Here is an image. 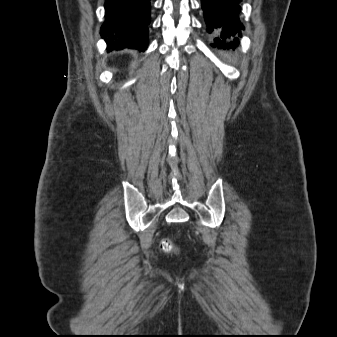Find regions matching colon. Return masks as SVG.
<instances>
[{"mask_svg":"<svg viewBox=\"0 0 337 337\" xmlns=\"http://www.w3.org/2000/svg\"><path fill=\"white\" fill-rule=\"evenodd\" d=\"M160 247L165 252H172L175 248V245L169 238H163L160 242Z\"/></svg>","mask_w":337,"mask_h":337,"instance_id":"obj_1","label":"colon"}]
</instances>
